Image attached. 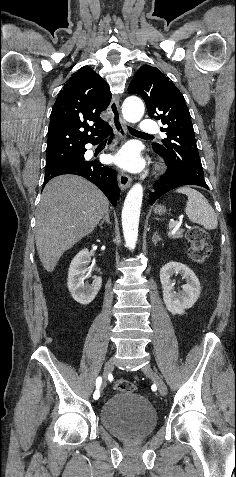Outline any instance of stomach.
Wrapping results in <instances>:
<instances>
[{
	"mask_svg": "<svg viewBox=\"0 0 236 477\" xmlns=\"http://www.w3.org/2000/svg\"><path fill=\"white\" fill-rule=\"evenodd\" d=\"M154 212L156 214L161 215V214L165 213V208L163 206L159 205L155 208Z\"/></svg>",
	"mask_w": 236,
	"mask_h": 477,
	"instance_id": "obj_1",
	"label": "stomach"
}]
</instances>
